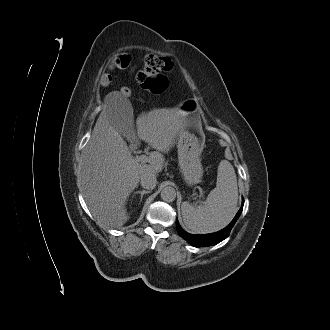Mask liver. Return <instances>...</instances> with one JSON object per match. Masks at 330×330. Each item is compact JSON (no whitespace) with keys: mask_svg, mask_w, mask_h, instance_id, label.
Segmentation results:
<instances>
[{"mask_svg":"<svg viewBox=\"0 0 330 330\" xmlns=\"http://www.w3.org/2000/svg\"><path fill=\"white\" fill-rule=\"evenodd\" d=\"M130 109L132 107L128 103ZM118 107L106 105L100 113L82 160L80 184L85 202L99 223L122 227L129 219L127 197L145 173L162 171L164 157L180 135L186 133V116L175 109L153 110L137 118V135L156 151L141 164L131 155L127 143L115 128ZM133 112V110H132ZM127 138H136L135 129Z\"/></svg>","mask_w":330,"mask_h":330,"instance_id":"obj_1","label":"liver"}]
</instances>
